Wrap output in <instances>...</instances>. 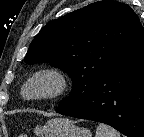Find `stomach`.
I'll use <instances>...</instances> for the list:
<instances>
[{
	"mask_svg": "<svg viewBox=\"0 0 144 137\" xmlns=\"http://www.w3.org/2000/svg\"><path fill=\"white\" fill-rule=\"evenodd\" d=\"M37 137H92L90 130L76 126L65 118H55L34 130Z\"/></svg>",
	"mask_w": 144,
	"mask_h": 137,
	"instance_id": "0dacf381",
	"label": "stomach"
}]
</instances>
